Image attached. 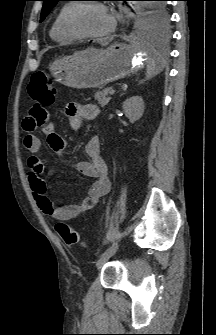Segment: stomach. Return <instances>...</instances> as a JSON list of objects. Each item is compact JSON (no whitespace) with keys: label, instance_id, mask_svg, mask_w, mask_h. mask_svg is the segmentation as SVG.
Here are the masks:
<instances>
[{"label":"stomach","instance_id":"stomach-1","mask_svg":"<svg viewBox=\"0 0 216 335\" xmlns=\"http://www.w3.org/2000/svg\"><path fill=\"white\" fill-rule=\"evenodd\" d=\"M147 53L135 44L114 43L104 50L88 48L55 61L50 72L63 85L102 88L143 68Z\"/></svg>","mask_w":216,"mask_h":335}]
</instances>
